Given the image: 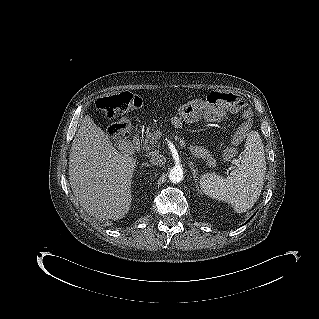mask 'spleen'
Wrapping results in <instances>:
<instances>
[{
    "label": "spleen",
    "mask_w": 319,
    "mask_h": 319,
    "mask_svg": "<svg viewBox=\"0 0 319 319\" xmlns=\"http://www.w3.org/2000/svg\"><path fill=\"white\" fill-rule=\"evenodd\" d=\"M266 161L262 140L256 131L246 138L245 149L230 176L207 173L200 178L203 192L213 199L231 204L236 212L252 208L264 185Z\"/></svg>",
    "instance_id": "obj_1"
}]
</instances>
